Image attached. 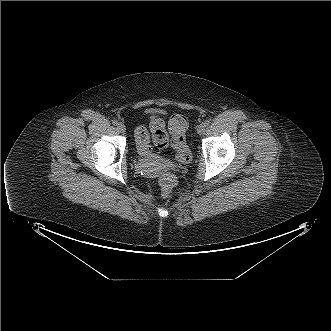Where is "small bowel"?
I'll return each mask as SVG.
<instances>
[{
	"mask_svg": "<svg viewBox=\"0 0 331 331\" xmlns=\"http://www.w3.org/2000/svg\"><path fill=\"white\" fill-rule=\"evenodd\" d=\"M157 122H158L159 124L163 125L162 120L157 119ZM150 128H151V131L153 132V130H154V125L151 124ZM141 132H144V135H145V137H146V139H147L148 142H149V135H148L147 131H146L144 128H139V129L137 130V132H136L137 146H138L140 152L146 154V153H148V152L150 151V146H148V148H147L146 150H142V149H141V143H142V138H141V135H140Z\"/></svg>",
	"mask_w": 331,
	"mask_h": 331,
	"instance_id": "small-bowel-1",
	"label": "small bowel"
}]
</instances>
